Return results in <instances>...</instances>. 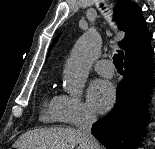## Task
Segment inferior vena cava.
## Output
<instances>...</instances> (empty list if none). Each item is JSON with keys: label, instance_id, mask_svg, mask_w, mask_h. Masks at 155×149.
Returning <instances> with one entry per match:
<instances>
[{"label": "inferior vena cava", "instance_id": "obj_1", "mask_svg": "<svg viewBox=\"0 0 155 149\" xmlns=\"http://www.w3.org/2000/svg\"><path fill=\"white\" fill-rule=\"evenodd\" d=\"M97 117L94 113L86 111L79 124V131L82 133L87 149H99L97 140L91 134V128Z\"/></svg>", "mask_w": 155, "mask_h": 149}]
</instances>
